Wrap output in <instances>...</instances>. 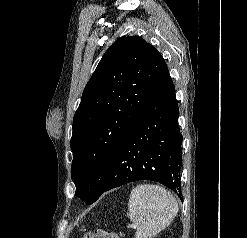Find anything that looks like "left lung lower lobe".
Segmentation results:
<instances>
[{
  "label": "left lung lower lobe",
  "instance_id": "1",
  "mask_svg": "<svg viewBox=\"0 0 247 238\" xmlns=\"http://www.w3.org/2000/svg\"><path fill=\"white\" fill-rule=\"evenodd\" d=\"M175 87L166 68L150 102L119 147L102 193L138 180L159 182L181 196L182 135Z\"/></svg>",
  "mask_w": 247,
  "mask_h": 238
}]
</instances>
